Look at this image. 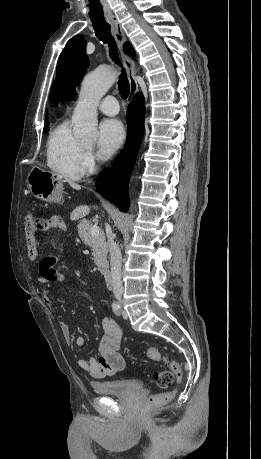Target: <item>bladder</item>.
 <instances>
[{
	"label": "bladder",
	"mask_w": 261,
	"mask_h": 459,
	"mask_svg": "<svg viewBox=\"0 0 261 459\" xmlns=\"http://www.w3.org/2000/svg\"><path fill=\"white\" fill-rule=\"evenodd\" d=\"M93 390L101 395H130L142 390V383L137 379H117L91 384Z\"/></svg>",
	"instance_id": "obj_1"
}]
</instances>
